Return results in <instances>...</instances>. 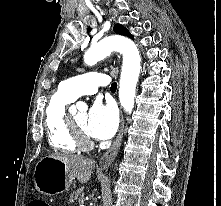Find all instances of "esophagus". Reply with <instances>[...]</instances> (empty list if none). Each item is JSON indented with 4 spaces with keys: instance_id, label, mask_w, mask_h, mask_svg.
<instances>
[{
    "instance_id": "1",
    "label": "esophagus",
    "mask_w": 221,
    "mask_h": 206,
    "mask_svg": "<svg viewBox=\"0 0 221 206\" xmlns=\"http://www.w3.org/2000/svg\"><path fill=\"white\" fill-rule=\"evenodd\" d=\"M123 131H124V116L121 111V121H120V128H119L118 135L114 143L112 144V146L101 157L100 162H99L100 169L108 168L110 164L114 161L120 149V145H121V141L123 137Z\"/></svg>"
}]
</instances>
